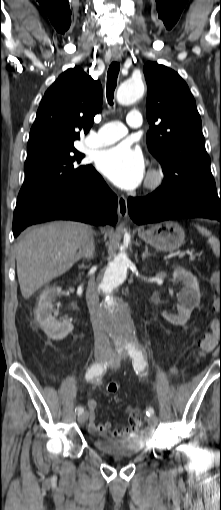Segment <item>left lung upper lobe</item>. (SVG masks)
Masks as SVG:
<instances>
[{"label": "left lung upper lobe", "mask_w": 221, "mask_h": 510, "mask_svg": "<svg viewBox=\"0 0 221 510\" xmlns=\"http://www.w3.org/2000/svg\"><path fill=\"white\" fill-rule=\"evenodd\" d=\"M148 93L146 114L149 151L161 163L165 178L158 191L217 193L205 149L201 118L184 80L156 62L143 67ZM159 121L158 125L155 122Z\"/></svg>", "instance_id": "5c2ea615"}]
</instances>
